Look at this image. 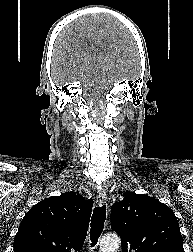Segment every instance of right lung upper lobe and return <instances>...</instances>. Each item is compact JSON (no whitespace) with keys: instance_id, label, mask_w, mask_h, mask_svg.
Instances as JSON below:
<instances>
[{"instance_id":"obj_1","label":"right lung upper lobe","mask_w":193,"mask_h":252,"mask_svg":"<svg viewBox=\"0 0 193 252\" xmlns=\"http://www.w3.org/2000/svg\"><path fill=\"white\" fill-rule=\"evenodd\" d=\"M92 207L91 199L70 192L40 201L23 217L14 239V252L79 251Z\"/></svg>"}]
</instances>
